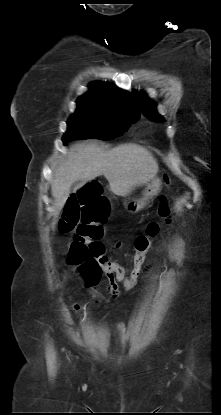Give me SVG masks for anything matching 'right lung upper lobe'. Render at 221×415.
Returning <instances> with one entry per match:
<instances>
[{"instance_id":"right-lung-upper-lobe-1","label":"right lung upper lobe","mask_w":221,"mask_h":415,"mask_svg":"<svg viewBox=\"0 0 221 415\" xmlns=\"http://www.w3.org/2000/svg\"><path fill=\"white\" fill-rule=\"evenodd\" d=\"M77 104H92L101 107L124 108L135 111L139 109L133 97L116 85L108 82H93L89 91L77 99Z\"/></svg>"}]
</instances>
